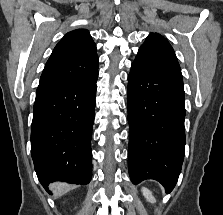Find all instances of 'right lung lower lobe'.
<instances>
[{"mask_svg": "<svg viewBox=\"0 0 223 215\" xmlns=\"http://www.w3.org/2000/svg\"><path fill=\"white\" fill-rule=\"evenodd\" d=\"M98 68L78 81L37 92L31 155L40 183L86 185L92 178L91 137Z\"/></svg>", "mask_w": 223, "mask_h": 215, "instance_id": "98d812e1", "label": "right lung lower lobe"}]
</instances>
